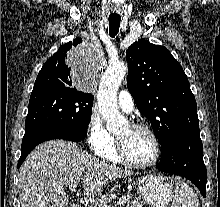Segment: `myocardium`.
<instances>
[{
  "mask_svg": "<svg viewBox=\"0 0 220 207\" xmlns=\"http://www.w3.org/2000/svg\"><path fill=\"white\" fill-rule=\"evenodd\" d=\"M129 126L133 129L143 130L149 134V136L151 137V139L154 143L155 154L150 161L136 162V161L132 160L127 155L126 150H125V146H124L122 140L120 138L116 137L115 144H116V152H117L118 157L120 158V160L122 162H124L125 164L132 166V167L147 168V167H151V166L155 165L158 162L160 155H161V145H160V141H159L156 133L153 131V129L151 127H149L148 125L143 124V123H130Z\"/></svg>",
  "mask_w": 220,
  "mask_h": 207,
  "instance_id": "f54148a6",
  "label": "myocardium"
}]
</instances>
